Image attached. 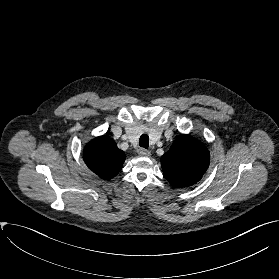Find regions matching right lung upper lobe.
I'll list each match as a JSON object with an SVG mask.
<instances>
[{"label": "right lung upper lobe", "instance_id": "right-lung-upper-lobe-1", "mask_svg": "<svg viewBox=\"0 0 279 279\" xmlns=\"http://www.w3.org/2000/svg\"><path fill=\"white\" fill-rule=\"evenodd\" d=\"M83 158L89 169L102 179L109 180L120 172L126 156L114 140L103 135L86 145Z\"/></svg>", "mask_w": 279, "mask_h": 279}]
</instances>
